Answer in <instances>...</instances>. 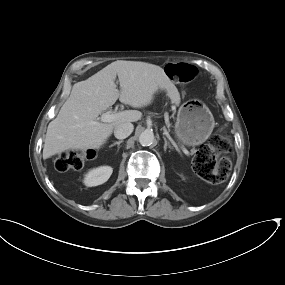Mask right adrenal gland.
<instances>
[{
	"label": "right adrenal gland",
	"instance_id": "2a0ac1e0",
	"mask_svg": "<svg viewBox=\"0 0 285 285\" xmlns=\"http://www.w3.org/2000/svg\"><path fill=\"white\" fill-rule=\"evenodd\" d=\"M122 142H123V140L116 141V142H114L113 144H111L110 147H113V146L117 145L118 148H119V145H120Z\"/></svg>",
	"mask_w": 285,
	"mask_h": 285
}]
</instances>
